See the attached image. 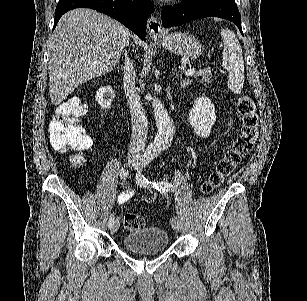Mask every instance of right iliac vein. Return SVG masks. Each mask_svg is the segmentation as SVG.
<instances>
[{
    "mask_svg": "<svg viewBox=\"0 0 307 301\" xmlns=\"http://www.w3.org/2000/svg\"><path fill=\"white\" fill-rule=\"evenodd\" d=\"M128 164H129V166L131 168H136L138 166V159H137V157H135L133 155H130L128 157ZM119 227H120L119 219H116L114 225L112 226V231L113 232H117Z\"/></svg>",
    "mask_w": 307,
    "mask_h": 301,
    "instance_id": "1",
    "label": "right iliac vein"
}]
</instances>
